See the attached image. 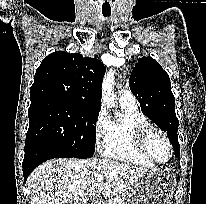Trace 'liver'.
<instances>
[{"label":"liver","mask_w":206,"mask_h":204,"mask_svg":"<svg viewBox=\"0 0 206 204\" xmlns=\"http://www.w3.org/2000/svg\"><path fill=\"white\" fill-rule=\"evenodd\" d=\"M149 170L109 159H53L38 166L27 183L31 204L86 203L96 193L118 195ZM102 175L104 180L96 181Z\"/></svg>","instance_id":"6515ba94"}]
</instances>
